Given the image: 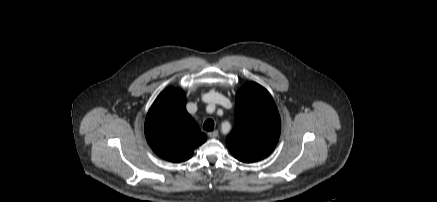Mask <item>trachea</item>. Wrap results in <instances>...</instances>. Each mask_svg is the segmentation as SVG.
<instances>
[{
    "instance_id": "trachea-1",
    "label": "trachea",
    "mask_w": 437,
    "mask_h": 202,
    "mask_svg": "<svg viewBox=\"0 0 437 202\" xmlns=\"http://www.w3.org/2000/svg\"><path fill=\"white\" fill-rule=\"evenodd\" d=\"M203 129L206 131H213L214 121L212 119H207L203 124Z\"/></svg>"
}]
</instances>
